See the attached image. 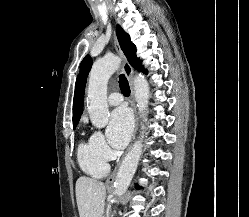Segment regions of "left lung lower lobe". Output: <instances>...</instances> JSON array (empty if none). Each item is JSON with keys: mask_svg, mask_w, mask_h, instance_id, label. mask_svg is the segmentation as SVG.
<instances>
[{"mask_svg": "<svg viewBox=\"0 0 249 217\" xmlns=\"http://www.w3.org/2000/svg\"><path fill=\"white\" fill-rule=\"evenodd\" d=\"M144 73H147V72H144ZM136 188H138V189H139V188H140V186H138V185H137V186H136Z\"/></svg>", "mask_w": 249, "mask_h": 217, "instance_id": "left-lung-lower-lobe-1", "label": "left lung lower lobe"}]
</instances>
